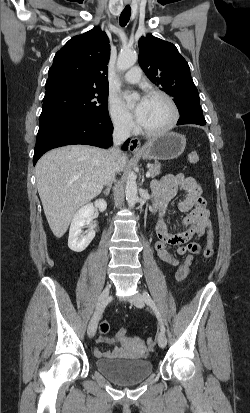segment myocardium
<instances>
[{
	"mask_svg": "<svg viewBox=\"0 0 250 413\" xmlns=\"http://www.w3.org/2000/svg\"><path fill=\"white\" fill-rule=\"evenodd\" d=\"M148 97H157V98H161L164 101H166L172 110V118L169 124L162 129L148 130V129H145L141 124H139V131L148 137H159V136L165 135L176 126L179 120L180 113H179L178 106L170 95H168L167 93L161 90L150 91L148 94Z\"/></svg>",
	"mask_w": 250,
	"mask_h": 413,
	"instance_id": "myocardium-1",
	"label": "myocardium"
}]
</instances>
